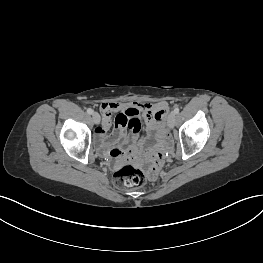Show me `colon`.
<instances>
[{"label":"colon","mask_w":263,"mask_h":263,"mask_svg":"<svg viewBox=\"0 0 263 263\" xmlns=\"http://www.w3.org/2000/svg\"><path fill=\"white\" fill-rule=\"evenodd\" d=\"M163 164V159L161 166ZM145 181L144 172L137 166L126 164L115 170L113 173L114 184L123 190H130L141 186Z\"/></svg>","instance_id":"obj_1"}]
</instances>
